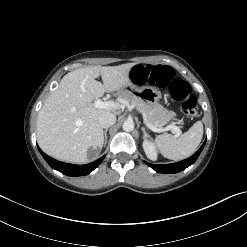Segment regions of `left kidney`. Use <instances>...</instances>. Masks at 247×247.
Wrapping results in <instances>:
<instances>
[{
	"label": "left kidney",
	"mask_w": 247,
	"mask_h": 247,
	"mask_svg": "<svg viewBox=\"0 0 247 247\" xmlns=\"http://www.w3.org/2000/svg\"><path fill=\"white\" fill-rule=\"evenodd\" d=\"M143 149L145 151L146 156L150 160H153V161L157 160V151H156L155 145L152 141L144 139Z\"/></svg>",
	"instance_id": "obj_1"
}]
</instances>
